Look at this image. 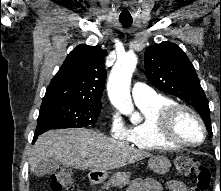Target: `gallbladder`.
Segmentation results:
<instances>
[{
	"label": "gallbladder",
	"mask_w": 221,
	"mask_h": 191,
	"mask_svg": "<svg viewBox=\"0 0 221 191\" xmlns=\"http://www.w3.org/2000/svg\"><path fill=\"white\" fill-rule=\"evenodd\" d=\"M60 165L61 164L59 161L52 159V158L42 160L38 164V166L35 168L34 174L38 177H41L47 174H52L56 172L57 169H59Z\"/></svg>",
	"instance_id": "1"
}]
</instances>
